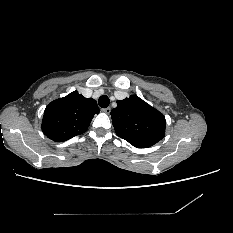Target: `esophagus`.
Listing matches in <instances>:
<instances>
[{
	"label": "esophagus",
	"mask_w": 233,
	"mask_h": 233,
	"mask_svg": "<svg viewBox=\"0 0 233 233\" xmlns=\"http://www.w3.org/2000/svg\"><path fill=\"white\" fill-rule=\"evenodd\" d=\"M102 111L105 112L106 114H110L111 108L107 107V108L102 109Z\"/></svg>",
	"instance_id": "34e87169"
}]
</instances>
